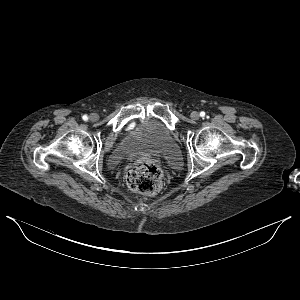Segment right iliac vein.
<instances>
[{
	"label": "right iliac vein",
	"mask_w": 300,
	"mask_h": 300,
	"mask_svg": "<svg viewBox=\"0 0 300 300\" xmlns=\"http://www.w3.org/2000/svg\"><path fill=\"white\" fill-rule=\"evenodd\" d=\"M89 119H90L92 122H96V121L99 119V116H98L97 113H92V114H90Z\"/></svg>",
	"instance_id": "63e3f726"
}]
</instances>
